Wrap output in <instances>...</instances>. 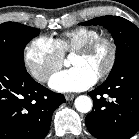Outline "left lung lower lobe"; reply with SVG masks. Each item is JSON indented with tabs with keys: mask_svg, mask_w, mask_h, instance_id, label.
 <instances>
[{
	"mask_svg": "<svg viewBox=\"0 0 139 139\" xmlns=\"http://www.w3.org/2000/svg\"><path fill=\"white\" fill-rule=\"evenodd\" d=\"M88 94L94 102L85 122L94 137H132L139 130V56L131 58Z\"/></svg>",
	"mask_w": 139,
	"mask_h": 139,
	"instance_id": "obj_1",
	"label": "left lung lower lobe"
}]
</instances>
